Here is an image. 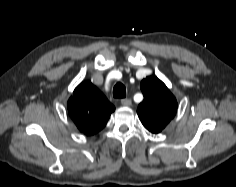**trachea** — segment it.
<instances>
[{
	"label": "trachea",
	"instance_id": "trachea-1",
	"mask_svg": "<svg viewBox=\"0 0 236 187\" xmlns=\"http://www.w3.org/2000/svg\"><path fill=\"white\" fill-rule=\"evenodd\" d=\"M113 96L115 98H125L126 97V88L125 86L118 82L113 88Z\"/></svg>",
	"mask_w": 236,
	"mask_h": 187
}]
</instances>
